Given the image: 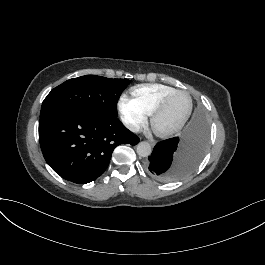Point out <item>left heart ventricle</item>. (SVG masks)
Instances as JSON below:
<instances>
[{"instance_id":"b2bd125f","label":"left heart ventricle","mask_w":265,"mask_h":265,"mask_svg":"<svg viewBox=\"0 0 265 265\" xmlns=\"http://www.w3.org/2000/svg\"><path fill=\"white\" fill-rule=\"evenodd\" d=\"M188 104L184 94L173 95L164 105L158 118V125L161 128L174 126L183 117Z\"/></svg>"}]
</instances>
